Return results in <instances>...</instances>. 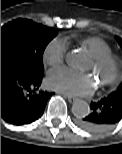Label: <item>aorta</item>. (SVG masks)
Masks as SVG:
<instances>
[{
	"label": "aorta",
	"instance_id": "aorta-1",
	"mask_svg": "<svg viewBox=\"0 0 122 154\" xmlns=\"http://www.w3.org/2000/svg\"><path fill=\"white\" fill-rule=\"evenodd\" d=\"M82 56L79 52L73 50L67 53L66 62L69 66L75 67L81 61ZM72 113L76 117L87 116L90 112L89 104L84 100H77L72 105Z\"/></svg>",
	"mask_w": 122,
	"mask_h": 154
}]
</instances>
